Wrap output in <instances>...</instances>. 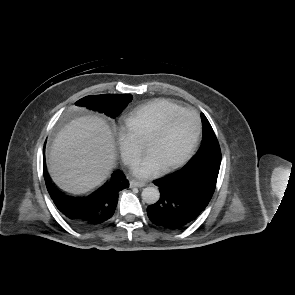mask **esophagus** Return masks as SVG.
I'll use <instances>...</instances> for the list:
<instances>
[{
    "mask_svg": "<svg viewBox=\"0 0 295 295\" xmlns=\"http://www.w3.org/2000/svg\"><path fill=\"white\" fill-rule=\"evenodd\" d=\"M146 184L144 182L141 181H136V180H132L130 182V187H138V188H142L144 187Z\"/></svg>",
    "mask_w": 295,
    "mask_h": 295,
    "instance_id": "obj_1",
    "label": "esophagus"
}]
</instances>
